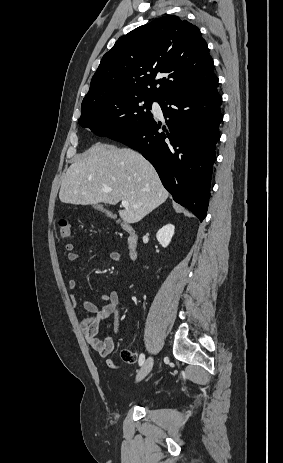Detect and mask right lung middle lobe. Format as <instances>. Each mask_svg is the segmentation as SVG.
Masks as SVG:
<instances>
[{"instance_id": "right-lung-middle-lobe-1", "label": "right lung middle lobe", "mask_w": 283, "mask_h": 463, "mask_svg": "<svg viewBox=\"0 0 283 463\" xmlns=\"http://www.w3.org/2000/svg\"><path fill=\"white\" fill-rule=\"evenodd\" d=\"M152 101L156 100L145 96L104 97L82 105L79 124L99 136L111 138L131 131L152 118Z\"/></svg>"}]
</instances>
